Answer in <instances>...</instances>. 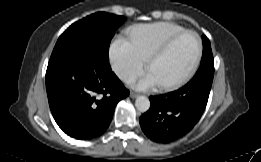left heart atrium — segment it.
<instances>
[{
	"label": "left heart atrium",
	"mask_w": 261,
	"mask_h": 162,
	"mask_svg": "<svg viewBox=\"0 0 261 162\" xmlns=\"http://www.w3.org/2000/svg\"><path fill=\"white\" fill-rule=\"evenodd\" d=\"M131 85L134 88L139 89V90H149L160 84L157 81V79L150 72H147L140 79H138L136 81H132Z\"/></svg>",
	"instance_id": "left-heart-atrium-1"
}]
</instances>
